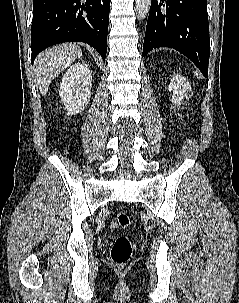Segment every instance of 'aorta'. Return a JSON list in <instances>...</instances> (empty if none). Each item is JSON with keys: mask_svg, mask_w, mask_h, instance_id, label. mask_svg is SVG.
Returning <instances> with one entry per match:
<instances>
[{"mask_svg": "<svg viewBox=\"0 0 239 303\" xmlns=\"http://www.w3.org/2000/svg\"><path fill=\"white\" fill-rule=\"evenodd\" d=\"M151 6V0H135V9L138 17L145 19L148 15Z\"/></svg>", "mask_w": 239, "mask_h": 303, "instance_id": "aorta-1", "label": "aorta"}]
</instances>
